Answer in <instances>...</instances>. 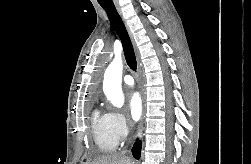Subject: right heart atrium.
<instances>
[{"mask_svg": "<svg viewBox=\"0 0 251 164\" xmlns=\"http://www.w3.org/2000/svg\"><path fill=\"white\" fill-rule=\"evenodd\" d=\"M110 124L113 133L118 140L125 138L129 132L130 125L126 117L119 112L109 113Z\"/></svg>", "mask_w": 251, "mask_h": 164, "instance_id": "obj_1", "label": "right heart atrium"}]
</instances>
